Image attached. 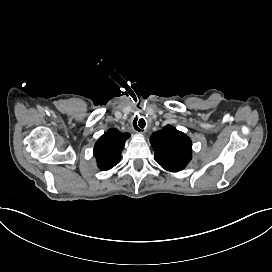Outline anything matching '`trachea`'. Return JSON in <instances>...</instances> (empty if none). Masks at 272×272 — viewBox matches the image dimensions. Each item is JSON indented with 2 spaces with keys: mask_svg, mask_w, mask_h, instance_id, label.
Here are the masks:
<instances>
[{
  "mask_svg": "<svg viewBox=\"0 0 272 272\" xmlns=\"http://www.w3.org/2000/svg\"><path fill=\"white\" fill-rule=\"evenodd\" d=\"M143 127H144V125L141 128H143ZM137 130L140 131V129L138 127H137Z\"/></svg>",
  "mask_w": 272,
  "mask_h": 272,
  "instance_id": "obj_1",
  "label": "trachea"
}]
</instances>
